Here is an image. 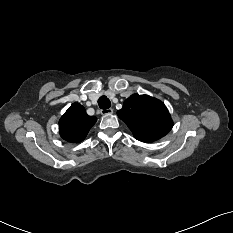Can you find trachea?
<instances>
[{
  "label": "trachea",
  "instance_id": "obj_1",
  "mask_svg": "<svg viewBox=\"0 0 233 233\" xmlns=\"http://www.w3.org/2000/svg\"><path fill=\"white\" fill-rule=\"evenodd\" d=\"M98 105L101 109H108L111 106V102L107 96H101L98 100Z\"/></svg>",
  "mask_w": 233,
  "mask_h": 233
}]
</instances>
